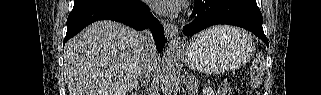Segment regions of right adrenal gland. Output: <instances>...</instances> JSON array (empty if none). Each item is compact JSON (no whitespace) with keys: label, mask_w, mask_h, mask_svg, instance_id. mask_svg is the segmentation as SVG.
Returning a JSON list of instances; mask_svg holds the SVG:
<instances>
[{"label":"right adrenal gland","mask_w":321,"mask_h":95,"mask_svg":"<svg viewBox=\"0 0 321 95\" xmlns=\"http://www.w3.org/2000/svg\"><path fill=\"white\" fill-rule=\"evenodd\" d=\"M148 82H149V80H144V81L141 82V84H140L139 86H136V87L134 88V94L136 95V94H137V91H138L140 88L146 87V86L148 85Z\"/></svg>","instance_id":"2a0ac1e0"}]
</instances>
